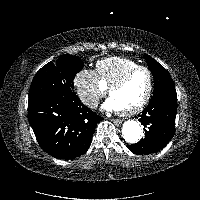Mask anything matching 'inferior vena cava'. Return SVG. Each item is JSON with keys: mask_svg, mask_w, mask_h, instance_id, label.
<instances>
[{"mask_svg": "<svg viewBox=\"0 0 200 200\" xmlns=\"http://www.w3.org/2000/svg\"><path fill=\"white\" fill-rule=\"evenodd\" d=\"M85 105L88 107L95 109L98 107V99L94 97H88L82 100Z\"/></svg>", "mask_w": 200, "mask_h": 200, "instance_id": "inferior-vena-cava-1", "label": "inferior vena cava"}]
</instances>
